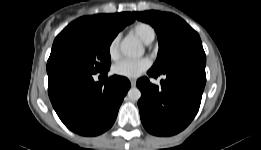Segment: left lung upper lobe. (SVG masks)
I'll return each instance as SVG.
<instances>
[{"mask_svg": "<svg viewBox=\"0 0 261 150\" xmlns=\"http://www.w3.org/2000/svg\"><path fill=\"white\" fill-rule=\"evenodd\" d=\"M133 14L154 27L158 35L159 51L153 69L164 68L183 51L203 48L198 33L175 14L154 10Z\"/></svg>", "mask_w": 261, "mask_h": 150, "instance_id": "left-lung-upper-lobe-1", "label": "left lung upper lobe"}]
</instances>
